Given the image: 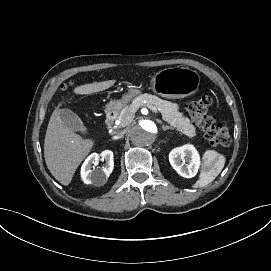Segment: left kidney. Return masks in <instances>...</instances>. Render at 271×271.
Returning <instances> with one entry per match:
<instances>
[{"instance_id": "obj_1", "label": "left kidney", "mask_w": 271, "mask_h": 271, "mask_svg": "<svg viewBox=\"0 0 271 271\" xmlns=\"http://www.w3.org/2000/svg\"><path fill=\"white\" fill-rule=\"evenodd\" d=\"M172 168L184 178L195 176L199 167V157L192 145H185L173 149L169 154Z\"/></svg>"}]
</instances>
